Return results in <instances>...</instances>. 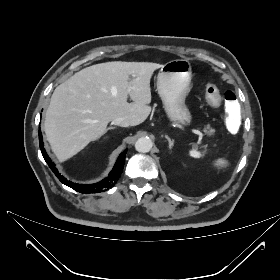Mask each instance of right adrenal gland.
<instances>
[{
  "mask_svg": "<svg viewBox=\"0 0 280 280\" xmlns=\"http://www.w3.org/2000/svg\"><path fill=\"white\" fill-rule=\"evenodd\" d=\"M112 129H115V127H108L105 131V133L108 131V130H112Z\"/></svg>",
  "mask_w": 280,
  "mask_h": 280,
  "instance_id": "1",
  "label": "right adrenal gland"
}]
</instances>
